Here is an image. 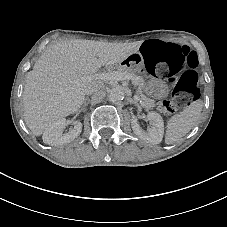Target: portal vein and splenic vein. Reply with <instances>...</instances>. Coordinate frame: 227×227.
Returning <instances> with one entry per match:
<instances>
[{
	"label": "portal vein and splenic vein",
	"mask_w": 227,
	"mask_h": 227,
	"mask_svg": "<svg viewBox=\"0 0 227 227\" xmlns=\"http://www.w3.org/2000/svg\"><path fill=\"white\" fill-rule=\"evenodd\" d=\"M100 78H106L108 80H112V81H125V80H130L132 82V85L135 88L136 93L134 94V100L135 102H138L139 97L137 94V90H138V84L134 78V76L130 73H124L121 71H116V72H112V73H104L101 74L99 76Z\"/></svg>",
	"instance_id": "18ae733b"
}]
</instances>
